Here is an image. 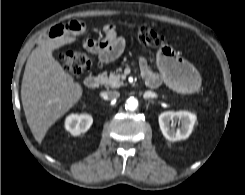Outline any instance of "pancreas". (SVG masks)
I'll list each match as a JSON object with an SVG mask.
<instances>
[{
	"mask_svg": "<svg viewBox=\"0 0 245 195\" xmlns=\"http://www.w3.org/2000/svg\"><path fill=\"white\" fill-rule=\"evenodd\" d=\"M103 84L107 88H119L123 85V80L120 74L111 73L108 77L104 75Z\"/></svg>",
	"mask_w": 245,
	"mask_h": 195,
	"instance_id": "pancreas-1",
	"label": "pancreas"
}]
</instances>
